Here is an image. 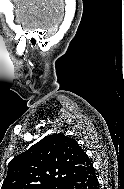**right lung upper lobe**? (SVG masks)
Returning <instances> with one entry per match:
<instances>
[{"label": "right lung upper lobe", "mask_w": 124, "mask_h": 189, "mask_svg": "<svg viewBox=\"0 0 124 189\" xmlns=\"http://www.w3.org/2000/svg\"><path fill=\"white\" fill-rule=\"evenodd\" d=\"M91 164L84 149L64 134L46 136L14 157L1 189H38L65 185Z\"/></svg>", "instance_id": "obj_1"}]
</instances>
